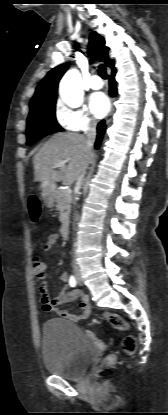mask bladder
<instances>
[{"mask_svg":"<svg viewBox=\"0 0 168 415\" xmlns=\"http://www.w3.org/2000/svg\"><path fill=\"white\" fill-rule=\"evenodd\" d=\"M41 349L47 371L65 379L82 376L97 355L79 326L58 318L43 324Z\"/></svg>","mask_w":168,"mask_h":415,"instance_id":"bladder-1","label":"bladder"}]
</instances>
